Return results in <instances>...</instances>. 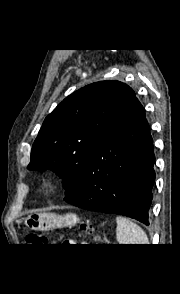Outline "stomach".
I'll use <instances>...</instances> for the list:
<instances>
[{
    "label": "stomach",
    "instance_id": "stomach-1",
    "mask_svg": "<svg viewBox=\"0 0 180 294\" xmlns=\"http://www.w3.org/2000/svg\"><path fill=\"white\" fill-rule=\"evenodd\" d=\"M24 225L31 230L48 231L56 228L71 227L79 219L77 215L68 213L64 216L54 213H35L29 214L22 219Z\"/></svg>",
    "mask_w": 180,
    "mask_h": 294
}]
</instances>
